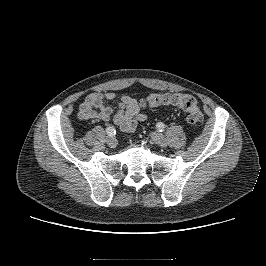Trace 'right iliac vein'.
<instances>
[{"label": "right iliac vein", "mask_w": 266, "mask_h": 266, "mask_svg": "<svg viewBox=\"0 0 266 266\" xmlns=\"http://www.w3.org/2000/svg\"><path fill=\"white\" fill-rule=\"evenodd\" d=\"M107 144L111 148H115L117 146V139L114 136H110L107 138Z\"/></svg>", "instance_id": "1"}]
</instances>
